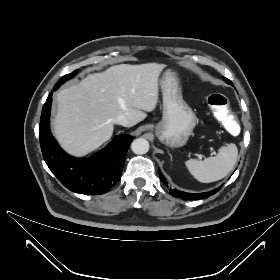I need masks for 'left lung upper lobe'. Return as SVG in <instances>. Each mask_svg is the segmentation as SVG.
Returning a JSON list of instances; mask_svg holds the SVG:
<instances>
[{
  "label": "left lung upper lobe",
  "mask_w": 280,
  "mask_h": 280,
  "mask_svg": "<svg viewBox=\"0 0 280 280\" xmlns=\"http://www.w3.org/2000/svg\"><path fill=\"white\" fill-rule=\"evenodd\" d=\"M224 79V81L226 82V83H228V84H232L231 82H230V80L229 79H227V78H223Z\"/></svg>",
  "instance_id": "5c2ea615"
}]
</instances>
